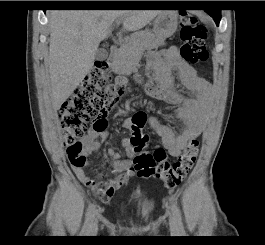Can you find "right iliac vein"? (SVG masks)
<instances>
[{"instance_id": "obj_1", "label": "right iliac vein", "mask_w": 265, "mask_h": 245, "mask_svg": "<svg viewBox=\"0 0 265 245\" xmlns=\"http://www.w3.org/2000/svg\"><path fill=\"white\" fill-rule=\"evenodd\" d=\"M97 228H98V220L97 218H95L90 227L89 235H95L97 232Z\"/></svg>"}]
</instances>
